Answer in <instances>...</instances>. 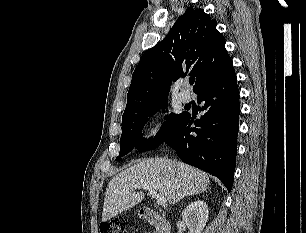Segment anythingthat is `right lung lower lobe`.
<instances>
[{
    "label": "right lung lower lobe",
    "instance_id": "98d812e1",
    "mask_svg": "<svg viewBox=\"0 0 306 233\" xmlns=\"http://www.w3.org/2000/svg\"><path fill=\"white\" fill-rule=\"evenodd\" d=\"M202 116L194 122L185 114L177 130L164 142L174 148L180 159L218 177L230 192L233 184L238 118L239 91L234 69L211 83L197 96Z\"/></svg>",
    "mask_w": 306,
    "mask_h": 233
}]
</instances>
